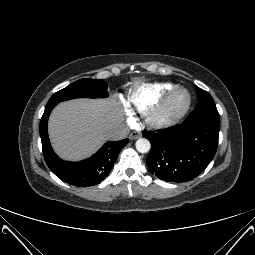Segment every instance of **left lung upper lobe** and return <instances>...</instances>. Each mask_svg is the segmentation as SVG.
<instances>
[{
  "label": "left lung upper lobe",
  "mask_w": 255,
  "mask_h": 255,
  "mask_svg": "<svg viewBox=\"0 0 255 255\" xmlns=\"http://www.w3.org/2000/svg\"><path fill=\"white\" fill-rule=\"evenodd\" d=\"M198 104L195 110L187 117V121H217L220 120L215 102L205 90L195 86Z\"/></svg>",
  "instance_id": "left-lung-upper-lobe-1"
}]
</instances>
